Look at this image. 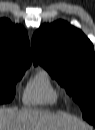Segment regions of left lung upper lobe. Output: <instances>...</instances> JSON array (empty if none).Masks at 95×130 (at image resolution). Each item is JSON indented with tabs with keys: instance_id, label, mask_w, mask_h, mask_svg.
<instances>
[{
	"instance_id": "left-lung-upper-lobe-1",
	"label": "left lung upper lobe",
	"mask_w": 95,
	"mask_h": 130,
	"mask_svg": "<svg viewBox=\"0 0 95 130\" xmlns=\"http://www.w3.org/2000/svg\"><path fill=\"white\" fill-rule=\"evenodd\" d=\"M33 63L41 64L95 123V57L93 45L77 28L63 21L43 25L32 38Z\"/></svg>"
}]
</instances>
